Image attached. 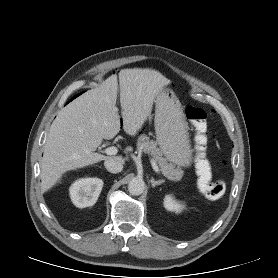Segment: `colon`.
<instances>
[{
	"label": "colon",
	"instance_id": "obj_1",
	"mask_svg": "<svg viewBox=\"0 0 278 278\" xmlns=\"http://www.w3.org/2000/svg\"><path fill=\"white\" fill-rule=\"evenodd\" d=\"M186 117L192 123L195 129V151L196 161L199 170L200 190L210 199H218L222 197L226 190V185L223 180H210V171L208 164L205 161L207 148V115L206 112L196 106L190 105L185 110Z\"/></svg>",
	"mask_w": 278,
	"mask_h": 278
}]
</instances>
